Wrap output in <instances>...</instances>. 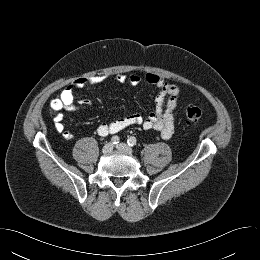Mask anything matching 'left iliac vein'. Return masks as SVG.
<instances>
[{
  "mask_svg": "<svg viewBox=\"0 0 260 260\" xmlns=\"http://www.w3.org/2000/svg\"><path fill=\"white\" fill-rule=\"evenodd\" d=\"M116 148L120 151H124L127 153H132V149L125 143H119Z\"/></svg>",
  "mask_w": 260,
  "mask_h": 260,
  "instance_id": "obj_1",
  "label": "left iliac vein"
}]
</instances>
